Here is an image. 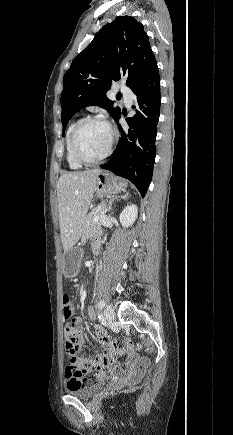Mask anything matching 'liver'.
<instances>
[{
	"label": "liver",
	"mask_w": 233,
	"mask_h": 435,
	"mask_svg": "<svg viewBox=\"0 0 233 435\" xmlns=\"http://www.w3.org/2000/svg\"><path fill=\"white\" fill-rule=\"evenodd\" d=\"M101 172L100 169L70 172L60 176L57 182L60 236L64 250L80 239L96 179Z\"/></svg>",
	"instance_id": "1"
}]
</instances>
